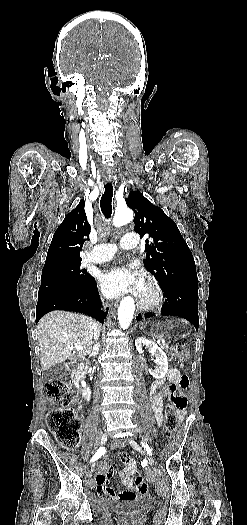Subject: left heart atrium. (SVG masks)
Listing matches in <instances>:
<instances>
[{
	"label": "left heart atrium",
	"instance_id": "1",
	"mask_svg": "<svg viewBox=\"0 0 247 525\" xmlns=\"http://www.w3.org/2000/svg\"><path fill=\"white\" fill-rule=\"evenodd\" d=\"M125 254H120L116 261L101 267L97 272V280L101 289L113 296L134 292L140 294L142 291V281L136 273V266L131 270L122 268Z\"/></svg>",
	"mask_w": 247,
	"mask_h": 525
}]
</instances>
